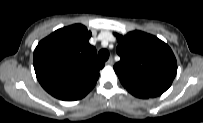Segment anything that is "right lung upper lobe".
Here are the masks:
<instances>
[{
    "instance_id": "cb5924a9",
    "label": "right lung upper lobe",
    "mask_w": 203,
    "mask_h": 123,
    "mask_svg": "<svg viewBox=\"0 0 203 123\" xmlns=\"http://www.w3.org/2000/svg\"><path fill=\"white\" fill-rule=\"evenodd\" d=\"M90 37L91 32L84 25L74 24L56 30L38 43L33 55L34 69L49 94L72 101L93 89L104 64L97 61Z\"/></svg>"
}]
</instances>
